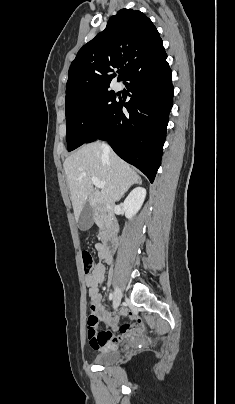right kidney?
<instances>
[{
  "label": "right kidney",
  "mask_w": 235,
  "mask_h": 404,
  "mask_svg": "<svg viewBox=\"0 0 235 404\" xmlns=\"http://www.w3.org/2000/svg\"><path fill=\"white\" fill-rule=\"evenodd\" d=\"M145 197L146 190L143 187H137L130 192L123 203L125 216L128 219H132V217L140 210Z\"/></svg>",
  "instance_id": "right-kidney-1"
}]
</instances>
